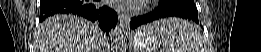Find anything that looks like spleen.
Returning a JSON list of instances; mask_svg holds the SVG:
<instances>
[{
    "label": "spleen",
    "instance_id": "spleen-1",
    "mask_svg": "<svg viewBox=\"0 0 261 52\" xmlns=\"http://www.w3.org/2000/svg\"><path fill=\"white\" fill-rule=\"evenodd\" d=\"M146 28L161 36L164 50L167 52H204L199 50L198 28L186 20L161 19Z\"/></svg>",
    "mask_w": 261,
    "mask_h": 52
}]
</instances>
